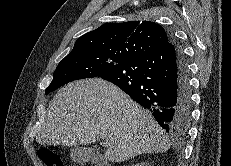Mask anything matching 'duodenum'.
<instances>
[{
	"mask_svg": "<svg viewBox=\"0 0 231 166\" xmlns=\"http://www.w3.org/2000/svg\"><path fill=\"white\" fill-rule=\"evenodd\" d=\"M80 160L89 161L94 164V166H108L104 159L89 151L80 152L78 155Z\"/></svg>",
	"mask_w": 231,
	"mask_h": 166,
	"instance_id": "1",
	"label": "duodenum"
}]
</instances>
